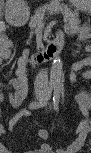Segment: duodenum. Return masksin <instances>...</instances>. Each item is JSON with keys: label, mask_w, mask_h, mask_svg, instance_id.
<instances>
[{"label": "duodenum", "mask_w": 91, "mask_h": 153, "mask_svg": "<svg viewBox=\"0 0 91 153\" xmlns=\"http://www.w3.org/2000/svg\"><path fill=\"white\" fill-rule=\"evenodd\" d=\"M63 44V37H56L44 49L33 52L29 56V61L34 65H42L53 59L60 51Z\"/></svg>", "instance_id": "obj_1"}]
</instances>
